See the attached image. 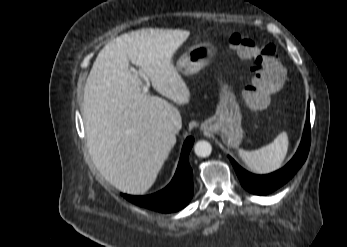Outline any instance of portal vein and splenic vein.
I'll return each instance as SVG.
<instances>
[{
  "mask_svg": "<svg viewBox=\"0 0 347 247\" xmlns=\"http://www.w3.org/2000/svg\"><path fill=\"white\" fill-rule=\"evenodd\" d=\"M141 76L145 79V81H146V85L145 86H143V92L144 93H147L148 92V90H149V81H148V79L145 77V75L144 74H141Z\"/></svg>",
  "mask_w": 347,
  "mask_h": 247,
  "instance_id": "18ae733b",
  "label": "portal vein and splenic vein"
}]
</instances>
